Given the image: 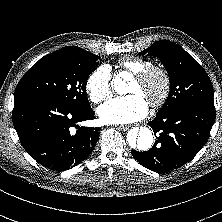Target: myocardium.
<instances>
[{
	"instance_id": "obj_1",
	"label": "myocardium",
	"mask_w": 222,
	"mask_h": 222,
	"mask_svg": "<svg viewBox=\"0 0 222 222\" xmlns=\"http://www.w3.org/2000/svg\"><path fill=\"white\" fill-rule=\"evenodd\" d=\"M158 76L162 80V88L159 95L149 104L152 108L163 106L171 93L172 81L169 72L162 68L152 66L134 75V79L140 83H147L153 77Z\"/></svg>"
}]
</instances>
